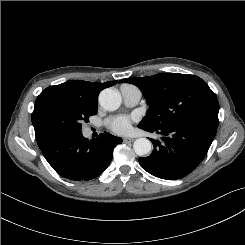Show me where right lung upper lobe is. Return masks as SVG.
Masks as SVG:
<instances>
[{"mask_svg": "<svg viewBox=\"0 0 245 245\" xmlns=\"http://www.w3.org/2000/svg\"><path fill=\"white\" fill-rule=\"evenodd\" d=\"M117 81H109L105 83H91L82 80H69L65 83L52 87L60 88L70 95L79 98L87 103L97 104L99 92L105 88L115 85ZM39 148L43 144H38Z\"/></svg>", "mask_w": 245, "mask_h": 245, "instance_id": "obj_1", "label": "right lung upper lobe"}]
</instances>
